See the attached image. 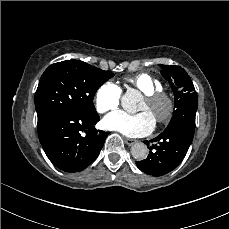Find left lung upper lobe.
Wrapping results in <instances>:
<instances>
[{
    "mask_svg": "<svg viewBox=\"0 0 229 229\" xmlns=\"http://www.w3.org/2000/svg\"><path fill=\"white\" fill-rule=\"evenodd\" d=\"M161 74L174 92V112L167 130L185 129L194 135L197 93L190 76L180 66L161 65Z\"/></svg>",
    "mask_w": 229,
    "mask_h": 229,
    "instance_id": "1",
    "label": "left lung upper lobe"
}]
</instances>
